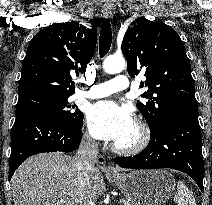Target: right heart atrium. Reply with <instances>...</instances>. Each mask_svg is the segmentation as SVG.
Masks as SVG:
<instances>
[{
  "label": "right heart atrium",
  "instance_id": "obj_1",
  "mask_svg": "<svg viewBox=\"0 0 212 205\" xmlns=\"http://www.w3.org/2000/svg\"><path fill=\"white\" fill-rule=\"evenodd\" d=\"M84 139H85V141H86L88 144L93 145V144L95 143L94 140H93V138L90 136L89 133H85Z\"/></svg>",
  "mask_w": 212,
  "mask_h": 205
}]
</instances>
